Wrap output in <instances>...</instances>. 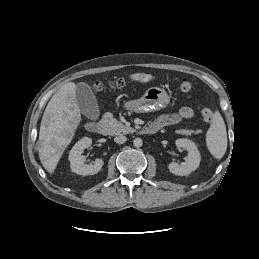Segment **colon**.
I'll list each match as a JSON object with an SVG mask.
<instances>
[{
	"instance_id": "1",
	"label": "colon",
	"mask_w": 259,
	"mask_h": 259,
	"mask_svg": "<svg viewBox=\"0 0 259 259\" xmlns=\"http://www.w3.org/2000/svg\"><path fill=\"white\" fill-rule=\"evenodd\" d=\"M112 86L115 87V88H121L123 86V81L122 80H117V81H115L112 84ZM97 88L101 90V89L104 88V85L98 84ZM178 89L180 91H182V92L190 91V89H191V82L187 78H181L178 81ZM201 114H202L203 120L207 124L211 123V121L213 120V116H214L213 111L211 109L204 108V109H202Z\"/></svg>"
}]
</instances>
